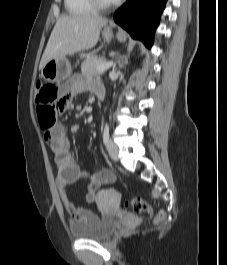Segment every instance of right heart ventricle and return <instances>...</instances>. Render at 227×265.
Listing matches in <instances>:
<instances>
[{"label": "right heart ventricle", "mask_w": 227, "mask_h": 265, "mask_svg": "<svg viewBox=\"0 0 227 265\" xmlns=\"http://www.w3.org/2000/svg\"><path fill=\"white\" fill-rule=\"evenodd\" d=\"M67 12L71 15H83L94 12L89 0H64Z\"/></svg>", "instance_id": "obj_1"}]
</instances>
